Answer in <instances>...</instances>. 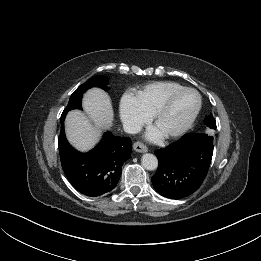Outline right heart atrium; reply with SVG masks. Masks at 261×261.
Segmentation results:
<instances>
[{
	"instance_id": "1",
	"label": "right heart atrium",
	"mask_w": 261,
	"mask_h": 261,
	"mask_svg": "<svg viewBox=\"0 0 261 261\" xmlns=\"http://www.w3.org/2000/svg\"><path fill=\"white\" fill-rule=\"evenodd\" d=\"M120 118L125 128L136 132L148 121V116L140 109L136 99L131 94H125L119 106Z\"/></svg>"
}]
</instances>
